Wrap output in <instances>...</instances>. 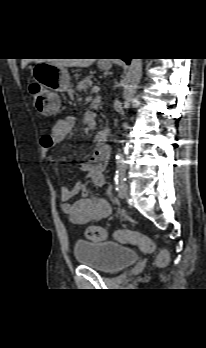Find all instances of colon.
Here are the masks:
<instances>
[{
	"label": "colon",
	"instance_id": "5ec220e1",
	"mask_svg": "<svg viewBox=\"0 0 206 348\" xmlns=\"http://www.w3.org/2000/svg\"><path fill=\"white\" fill-rule=\"evenodd\" d=\"M28 92L33 98L36 106L43 110L54 111L55 103H47L41 86L36 82H31L28 85ZM86 236L92 241H104L107 238V231L101 226H90L86 231ZM115 240L120 243H129L136 245L140 250L146 253L153 252L155 245L149 238L143 236L137 231L127 229H118L113 234ZM169 261V254L166 251H161L156 259L158 266H165Z\"/></svg>",
	"mask_w": 206,
	"mask_h": 348
}]
</instances>
